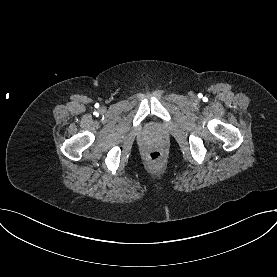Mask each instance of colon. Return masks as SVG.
I'll use <instances>...</instances> for the list:
<instances>
[{"mask_svg": "<svg viewBox=\"0 0 277 277\" xmlns=\"http://www.w3.org/2000/svg\"><path fill=\"white\" fill-rule=\"evenodd\" d=\"M148 159L153 162V163H157L162 159V154L159 151H151L148 154Z\"/></svg>", "mask_w": 277, "mask_h": 277, "instance_id": "obj_1", "label": "colon"}]
</instances>
